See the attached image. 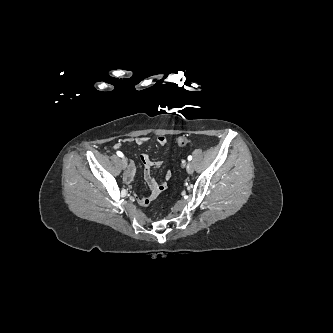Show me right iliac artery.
I'll use <instances>...</instances> for the list:
<instances>
[{"label": "right iliac artery", "mask_w": 333, "mask_h": 333, "mask_svg": "<svg viewBox=\"0 0 333 333\" xmlns=\"http://www.w3.org/2000/svg\"><path fill=\"white\" fill-rule=\"evenodd\" d=\"M119 157H123L124 155H123V153L122 152H120V151H117V153H116Z\"/></svg>", "instance_id": "right-iliac-artery-1"}]
</instances>
